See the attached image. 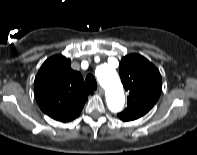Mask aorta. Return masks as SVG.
I'll return each mask as SVG.
<instances>
[{"label": "aorta", "instance_id": "762f6f07", "mask_svg": "<svg viewBox=\"0 0 197 155\" xmlns=\"http://www.w3.org/2000/svg\"><path fill=\"white\" fill-rule=\"evenodd\" d=\"M96 76L106 91V102L109 110L112 112L121 111L125 103V95L115 69L107 64H102L97 67Z\"/></svg>", "mask_w": 197, "mask_h": 155}]
</instances>
